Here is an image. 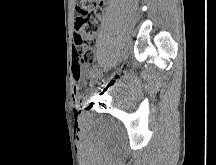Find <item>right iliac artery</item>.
<instances>
[{
    "label": "right iliac artery",
    "mask_w": 216,
    "mask_h": 165,
    "mask_svg": "<svg viewBox=\"0 0 216 165\" xmlns=\"http://www.w3.org/2000/svg\"><path fill=\"white\" fill-rule=\"evenodd\" d=\"M103 65L100 63L98 64L95 68H94V71L91 73L92 76H94L96 74V72L99 71V68H101Z\"/></svg>",
    "instance_id": "82829eb1"
}]
</instances>
